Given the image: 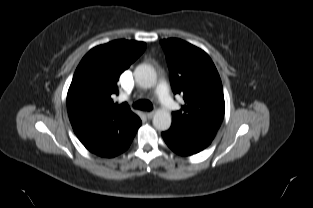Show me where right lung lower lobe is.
Here are the masks:
<instances>
[{"label": "right lung lower lobe", "instance_id": "obj_1", "mask_svg": "<svg viewBox=\"0 0 313 208\" xmlns=\"http://www.w3.org/2000/svg\"><path fill=\"white\" fill-rule=\"evenodd\" d=\"M140 125L141 120L138 117L129 128L107 123L100 127L74 128V132L90 152L111 158L128 149Z\"/></svg>", "mask_w": 313, "mask_h": 208}]
</instances>
